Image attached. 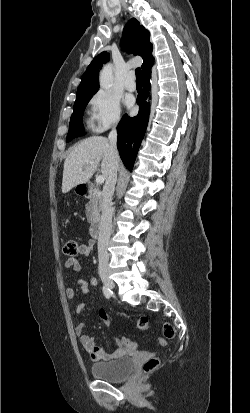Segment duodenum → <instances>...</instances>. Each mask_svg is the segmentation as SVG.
<instances>
[{"instance_id":"410a0bca","label":"duodenum","mask_w":250,"mask_h":413,"mask_svg":"<svg viewBox=\"0 0 250 413\" xmlns=\"http://www.w3.org/2000/svg\"><path fill=\"white\" fill-rule=\"evenodd\" d=\"M95 192L92 184L87 183L81 185L80 194L84 197H90ZM101 233V222L99 219L94 220L90 225V235L93 238H98Z\"/></svg>"}]
</instances>
